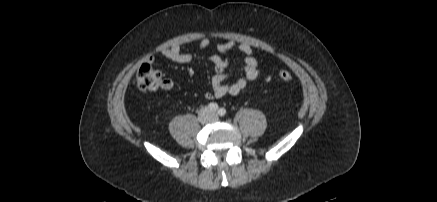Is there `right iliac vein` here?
<instances>
[{
	"label": "right iliac vein",
	"mask_w": 437,
	"mask_h": 202,
	"mask_svg": "<svg viewBox=\"0 0 437 202\" xmlns=\"http://www.w3.org/2000/svg\"><path fill=\"white\" fill-rule=\"evenodd\" d=\"M208 115V110L207 109H202L200 111V119H205Z\"/></svg>",
	"instance_id": "1"
}]
</instances>
